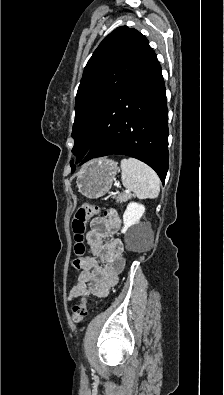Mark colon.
Here are the masks:
<instances>
[{
	"label": "colon",
	"instance_id": "obj_1",
	"mask_svg": "<svg viewBox=\"0 0 224 395\" xmlns=\"http://www.w3.org/2000/svg\"><path fill=\"white\" fill-rule=\"evenodd\" d=\"M99 213V208L89 203L80 205L72 221V232L74 235L75 246L74 251L77 256L72 262L74 268H80V257L85 253L84 233L86 231V224L89 218L96 216ZM90 301L86 297H82L78 304L72 309V320L76 323L83 322L88 317V308Z\"/></svg>",
	"mask_w": 224,
	"mask_h": 395
}]
</instances>
